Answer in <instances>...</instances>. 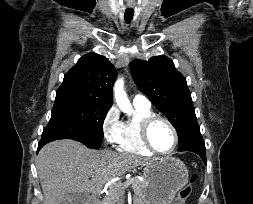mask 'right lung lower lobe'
<instances>
[{"label": "right lung lower lobe", "instance_id": "98d812e1", "mask_svg": "<svg viewBox=\"0 0 253 204\" xmlns=\"http://www.w3.org/2000/svg\"><path fill=\"white\" fill-rule=\"evenodd\" d=\"M53 141L52 139H44L42 138L38 144V150L39 151L46 143Z\"/></svg>", "mask_w": 253, "mask_h": 204}]
</instances>
